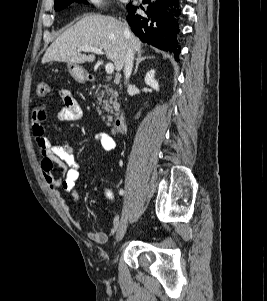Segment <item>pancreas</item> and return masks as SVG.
Returning <instances> with one entry per match:
<instances>
[{"instance_id": "cf45deb5", "label": "pancreas", "mask_w": 267, "mask_h": 301, "mask_svg": "<svg viewBox=\"0 0 267 301\" xmlns=\"http://www.w3.org/2000/svg\"><path fill=\"white\" fill-rule=\"evenodd\" d=\"M100 87H103L104 90H99ZM117 92L114 91L112 88H109L108 85H103V86H99L96 89V96L98 97V107L97 110L99 112V114H102V109L103 111L107 112L109 114V112H112V107L111 105H113L114 108L118 107V102H117ZM103 104L102 109H100V105ZM107 119L106 122H111L112 121V117L107 115V116H102V120L105 121Z\"/></svg>"}]
</instances>
